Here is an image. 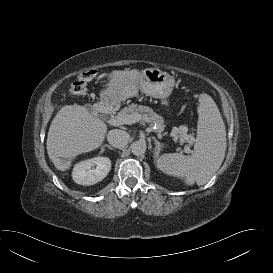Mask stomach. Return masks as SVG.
I'll list each match as a JSON object with an SVG mask.
<instances>
[{
  "label": "stomach",
  "mask_w": 273,
  "mask_h": 273,
  "mask_svg": "<svg viewBox=\"0 0 273 273\" xmlns=\"http://www.w3.org/2000/svg\"><path fill=\"white\" fill-rule=\"evenodd\" d=\"M175 85V79L169 73L158 68L144 69L140 77L122 88L111 91L109 88L101 93V101L108 106L116 107L122 101L138 95V92L160 99L163 104H168Z\"/></svg>",
  "instance_id": "1"
}]
</instances>
